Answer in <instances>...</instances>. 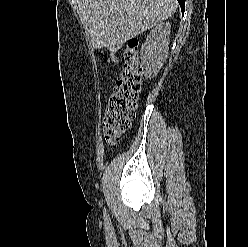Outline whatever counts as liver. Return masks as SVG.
I'll return each mask as SVG.
<instances>
[{
    "label": "liver",
    "mask_w": 248,
    "mask_h": 247,
    "mask_svg": "<svg viewBox=\"0 0 248 247\" xmlns=\"http://www.w3.org/2000/svg\"><path fill=\"white\" fill-rule=\"evenodd\" d=\"M79 17L94 48L117 52L135 37L171 17L176 0H77Z\"/></svg>",
    "instance_id": "6515ba94"
}]
</instances>
